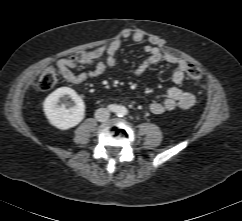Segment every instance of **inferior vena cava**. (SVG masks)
Instances as JSON below:
<instances>
[{
  "label": "inferior vena cava",
  "instance_id": "1",
  "mask_svg": "<svg viewBox=\"0 0 242 221\" xmlns=\"http://www.w3.org/2000/svg\"><path fill=\"white\" fill-rule=\"evenodd\" d=\"M110 112L106 108H99L95 112V118L100 122H105L109 119Z\"/></svg>",
  "mask_w": 242,
  "mask_h": 221
}]
</instances>
